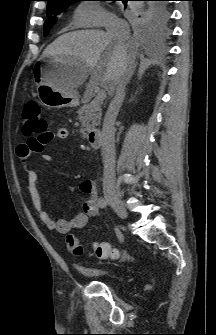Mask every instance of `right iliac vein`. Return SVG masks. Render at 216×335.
I'll list each match as a JSON object with an SVG mask.
<instances>
[{"mask_svg": "<svg viewBox=\"0 0 216 335\" xmlns=\"http://www.w3.org/2000/svg\"><path fill=\"white\" fill-rule=\"evenodd\" d=\"M105 197L109 205L114 209L117 215L122 219H126L128 216V213H127V210L123 202L120 200V198L112 192H106Z\"/></svg>", "mask_w": 216, "mask_h": 335, "instance_id": "obj_1", "label": "right iliac vein"}]
</instances>
